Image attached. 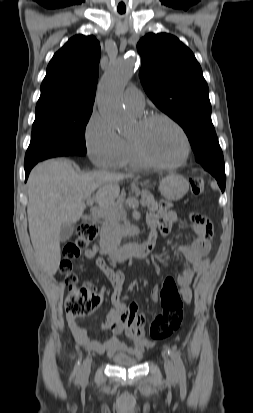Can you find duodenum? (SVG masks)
<instances>
[{"mask_svg":"<svg viewBox=\"0 0 253 413\" xmlns=\"http://www.w3.org/2000/svg\"><path fill=\"white\" fill-rule=\"evenodd\" d=\"M155 247V236L151 235L144 243L127 244L121 248H115L109 245L104 230H101V253L108 255L115 261H124L131 257L144 258L147 257Z\"/></svg>","mask_w":253,"mask_h":413,"instance_id":"obj_1","label":"duodenum"}]
</instances>
